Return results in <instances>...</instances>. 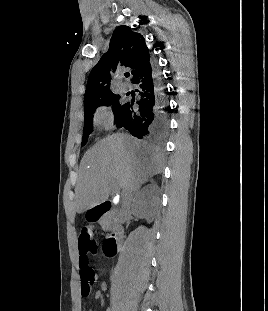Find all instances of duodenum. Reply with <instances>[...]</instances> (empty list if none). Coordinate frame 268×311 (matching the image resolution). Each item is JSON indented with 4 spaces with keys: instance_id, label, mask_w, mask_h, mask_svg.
<instances>
[{
    "instance_id": "410a0bca",
    "label": "duodenum",
    "mask_w": 268,
    "mask_h": 311,
    "mask_svg": "<svg viewBox=\"0 0 268 311\" xmlns=\"http://www.w3.org/2000/svg\"><path fill=\"white\" fill-rule=\"evenodd\" d=\"M110 206V202H103L94 206L89 212L90 220L96 223L105 220ZM121 241L122 233L120 229L117 228L113 230L105 240L103 247L105 254L109 257L114 256L121 246Z\"/></svg>"
}]
</instances>
